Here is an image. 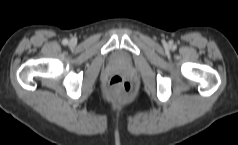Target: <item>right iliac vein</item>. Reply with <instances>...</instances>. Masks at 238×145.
<instances>
[{"label":"right iliac vein","mask_w":238,"mask_h":145,"mask_svg":"<svg viewBox=\"0 0 238 145\" xmlns=\"http://www.w3.org/2000/svg\"><path fill=\"white\" fill-rule=\"evenodd\" d=\"M69 43H70V45H74L75 44V40L72 39V40H70Z\"/></svg>","instance_id":"right-iliac-vein-1"}]
</instances>
